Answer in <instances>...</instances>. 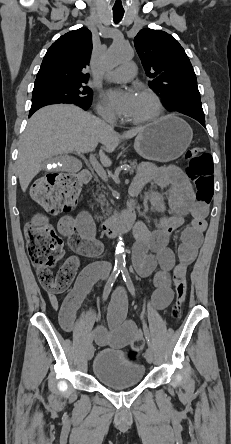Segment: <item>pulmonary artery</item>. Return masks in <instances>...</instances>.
Returning <instances> with one entry per match:
<instances>
[{"mask_svg": "<svg viewBox=\"0 0 231 444\" xmlns=\"http://www.w3.org/2000/svg\"><path fill=\"white\" fill-rule=\"evenodd\" d=\"M136 76V66L134 63H124L120 67L111 71L106 79L111 82H127Z\"/></svg>", "mask_w": 231, "mask_h": 444, "instance_id": "1", "label": "pulmonary artery"}]
</instances>
